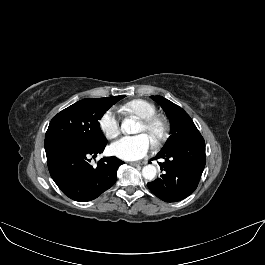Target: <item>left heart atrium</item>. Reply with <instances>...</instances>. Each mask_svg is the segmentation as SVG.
<instances>
[{
    "mask_svg": "<svg viewBox=\"0 0 265 265\" xmlns=\"http://www.w3.org/2000/svg\"><path fill=\"white\" fill-rule=\"evenodd\" d=\"M151 148L152 141L146 134L140 133L135 136L122 137L112 144L111 151L123 160L133 161L147 155Z\"/></svg>",
    "mask_w": 265,
    "mask_h": 265,
    "instance_id": "39dd6f15",
    "label": "left heart atrium"
}]
</instances>
